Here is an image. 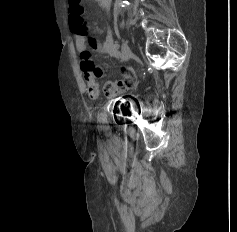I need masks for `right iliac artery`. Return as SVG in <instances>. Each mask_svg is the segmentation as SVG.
I'll list each match as a JSON object with an SVG mask.
<instances>
[{"mask_svg":"<svg viewBox=\"0 0 237 232\" xmlns=\"http://www.w3.org/2000/svg\"><path fill=\"white\" fill-rule=\"evenodd\" d=\"M114 47L117 49V48H118V45H117V44H114Z\"/></svg>","mask_w":237,"mask_h":232,"instance_id":"1","label":"right iliac artery"}]
</instances>
